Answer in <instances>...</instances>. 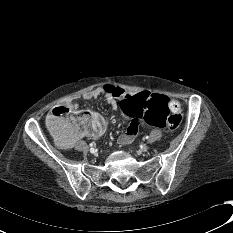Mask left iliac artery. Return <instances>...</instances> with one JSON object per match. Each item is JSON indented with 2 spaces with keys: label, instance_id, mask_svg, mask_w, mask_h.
I'll list each match as a JSON object with an SVG mask.
<instances>
[{
  "label": "left iliac artery",
  "instance_id": "44dca946",
  "mask_svg": "<svg viewBox=\"0 0 233 233\" xmlns=\"http://www.w3.org/2000/svg\"><path fill=\"white\" fill-rule=\"evenodd\" d=\"M144 139H149V136H145Z\"/></svg>",
  "mask_w": 233,
  "mask_h": 233
}]
</instances>
